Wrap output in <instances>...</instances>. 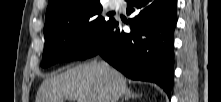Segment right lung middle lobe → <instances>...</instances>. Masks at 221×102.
<instances>
[{"instance_id": "obj_1", "label": "right lung middle lobe", "mask_w": 221, "mask_h": 102, "mask_svg": "<svg viewBox=\"0 0 221 102\" xmlns=\"http://www.w3.org/2000/svg\"><path fill=\"white\" fill-rule=\"evenodd\" d=\"M100 1L65 8L45 21L42 67L77 59L114 20L101 15Z\"/></svg>"}]
</instances>
